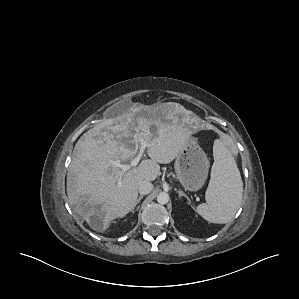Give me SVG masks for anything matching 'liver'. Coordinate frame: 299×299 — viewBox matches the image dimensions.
Masks as SVG:
<instances>
[{
  "instance_id": "6515ba94",
  "label": "liver",
  "mask_w": 299,
  "mask_h": 299,
  "mask_svg": "<svg viewBox=\"0 0 299 299\" xmlns=\"http://www.w3.org/2000/svg\"><path fill=\"white\" fill-rule=\"evenodd\" d=\"M168 106L161 109L132 105L84 133L76 143L67 173V195L73 211L95 231H106L116 218L132 211L138 183L154 181L160 164L172 162L186 144L187 136L174 123ZM149 147L150 159L122 174L111 161L131 159L140 148Z\"/></svg>"
}]
</instances>
